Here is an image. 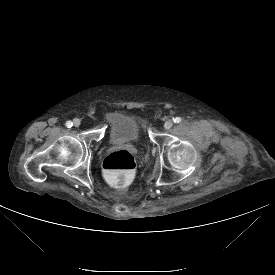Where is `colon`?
I'll use <instances>...</instances> for the list:
<instances>
[{
  "label": "colon",
  "mask_w": 275,
  "mask_h": 275,
  "mask_svg": "<svg viewBox=\"0 0 275 275\" xmlns=\"http://www.w3.org/2000/svg\"><path fill=\"white\" fill-rule=\"evenodd\" d=\"M104 175L116 186L125 187L135 178L136 163L134 156L127 150L109 154L103 161Z\"/></svg>",
  "instance_id": "obj_1"
}]
</instances>
